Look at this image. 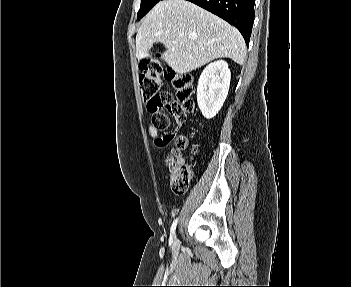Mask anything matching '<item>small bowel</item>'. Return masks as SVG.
<instances>
[{
  "label": "small bowel",
  "mask_w": 351,
  "mask_h": 287,
  "mask_svg": "<svg viewBox=\"0 0 351 287\" xmlns=\"http://www.w3.org/2000/svg\"><path fill=\"white\" fill-rule=\"evenodd\" d=\"M176 123L178 127H180L184 121L183 117H177L175 116ZM148 133L153 136L157 137V142H155V147L156 148H169L170 147V142L174 139L175 133H170L166 134L164 136H159V131L155 129L151 124L148 126Z\"/></svg>",
  "instance_id": "obj_1"
}]
</instances>
